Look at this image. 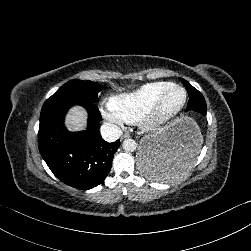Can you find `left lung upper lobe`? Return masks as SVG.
Returning <instances> with one entry per match:
<instances>
[{"label": "left lung upper lobe", "instance_id": "obj_1", "mask_svg": "<svg viewBox=\"0 0 251 251\" xmlns=\"http://www.w3.org/2000/svg\"><path fill=\"white\" fill-rule=\"evenodd\" d=\"M181 81L188 91L189 98H195L198 101L203 102V104H206L203 95L197 89H195L192 85H190L186 80L182 78H181Z\"/></svg>", "mask_w": 251, "mask_h": 251}]
</instances>
